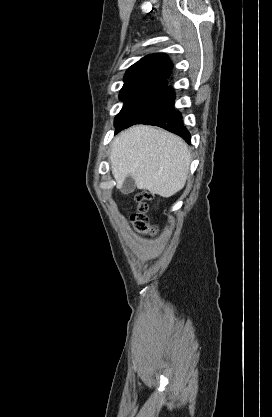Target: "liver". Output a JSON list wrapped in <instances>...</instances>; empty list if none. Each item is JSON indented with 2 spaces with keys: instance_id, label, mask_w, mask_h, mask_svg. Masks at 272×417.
<instances>
[{
  "instance_id": "1",
  "label": "liver",
  "mask_w": 272,
  "mask_h": 417,
  "mask_svg": "<svg viewBox=\"0 0 272 417\" xmlns=\"http://www.w3.org/2000/svg\"><path fill=\"white\" fill-rule=\"evenodd\" d=\"M109 160L117 188L131 176L138 189L168 198L184 187L191 154L180 137L163 129L137 125L114 139Z\"/></svg>"
}]
</instances>
